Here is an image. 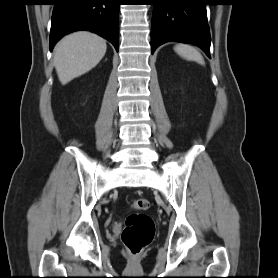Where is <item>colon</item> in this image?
Listing matches in <instances>:
<instances>
[{
  "label": "colon",
  "instance_id": "obj_1",
  "mask_svg": "<svg viewBox=\"0 0 278 278\" xmlns=\"http://www.w3.org/2000/svg\"><path fill=\"white\" fill-rule=\"evenodd\" d=\"M131 206L135 210L145 211L150 203L145 198H138L131 202ZM154 235L155 226L151 217L138 212L127 217L122 241L130 254L137 255L152 242Z\"/></svg>",
  "mask_w": 278,
  "mask_h": 278
}]
</instances>
